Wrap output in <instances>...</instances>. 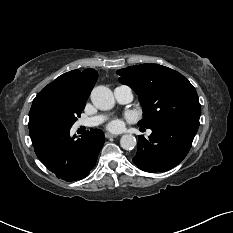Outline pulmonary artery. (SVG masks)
Returning <instances> with one entry per match:
<instances>
[{"mask_svg": "<svg viewBox=\"0 0 233 233\" xmlns=\"http://www.w3.org/2000/svg\"><path fill=\"white\" fill-rule=\"evenodd\" d=\"M114 97L120 104H126L132 101L133 92L130 87L121 85L114 89ZM105 119L103 115H96L90 118L80 120L79 124L86 127H93L101 124Z\"/></svg>", "mask_w": 233, "mask_h": 233, "instance_id": "pulmonary-artery-1", "label": "pulmonary artery"}]
</instances>
